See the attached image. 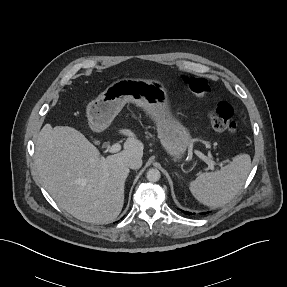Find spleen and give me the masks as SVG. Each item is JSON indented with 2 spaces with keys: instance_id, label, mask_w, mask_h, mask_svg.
<instances>
[{
  "instance_id": "1",
  "label": "spleen",
  "mask_w": 287,
  "mask_h": 287,
  "mask_svg": "<svg viewBox=\"0 0 287 287\" xmlns=\"http://www.w3.org/2000/svg\"><path fill=\"white\" fill-rule=\"evenodd\" d=\"M251 170L248 154L235 156L232 162L215 172L200 174L189 189L202 204L218 208L229 203L241 190Z\"/></svg>"
}]
</instances>
